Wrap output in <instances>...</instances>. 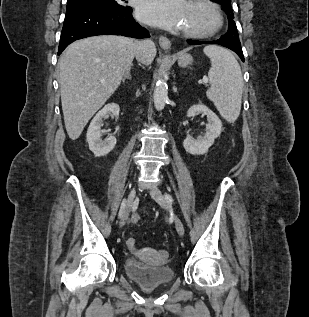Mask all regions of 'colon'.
<instances>
[{
    "instance_id": "1",
    "label": "colon",
    "mask_w": 309,
    "mask_h": 317,
    "mask_svg": "<svg viewBox=\"0 0 309 317\" xmlns=\"http://www.w3.org/2000/svg\"><path fill=\"white\" fill-rule=\"evenodd\" d=\"M0 1H1V0H0ZM139 220H140V216H139L138 214H133V215H132L131 221H132L133 224L138 223ZM126 244H127V246H128L129 248L133 249V248H135L136 241H135L134 238L131 237V238H128V239L126 240ZM161 256H162L163 258H166L167 255H166L165 252H161Z\"/></svg>"
}]
</instances>
